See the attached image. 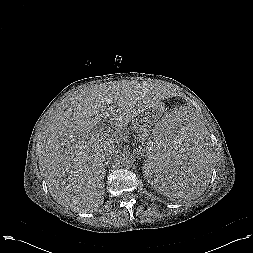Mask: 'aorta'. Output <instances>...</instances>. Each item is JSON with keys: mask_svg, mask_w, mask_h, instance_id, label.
Returning a JSON list of instances; mask_svg holds the SVG:
<instances>
[{"mask_svg": "<svg viewBox=\"0 0 253 253\" xmlns=\"http://www.w3.org/2000/svg\"><path fill=\"white\" fill-rule=\"evenodd\" d=\"M118 160H119V163L122 166L128 167V166H131L134 163L135 158H134V155L132 153H130L128 151H124L121 154H119Z\"/></svg>", "mask_w": 253, "mask_h": 253, "instance_id": "aorta-1", "label": "aorta"}]
</instances>
